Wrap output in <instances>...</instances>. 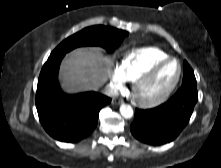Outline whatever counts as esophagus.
Segmentation results:
<instances>
[{
	"label": "esophagus",
	"mask_w": 221,
	"mask_h": 168,
	"mask_svg": "<svg viewBox=\"0 0 221 168\" xmlns=\"http://www.w3.org/2000/svg\"><path fill=\"white\" fill-rule=\"evenodd\" d=\"M122 103H123L122 99H118V98L112 99V104H114V105H118V104H122Z\"/></svg>",
	"instance_id": "esophagus-1"
}]
</instances>
